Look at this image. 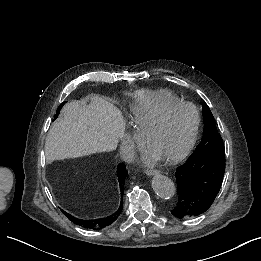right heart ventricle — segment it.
<instances>
[{
    "instance_id": "e07e8e85",
    "label": "right heart ventricle",
    "mask_w": 261,
    "mask_h": 261,
    "mask_svg": "<svg viewBox=\"0 0 261 261\" xmlns=\"http://www.w3.org/2000/svg\"><path fill=\"white\" fill-rule=\"evenodd\" d=\"M175 102H181V99L169 89H143L142 97L136 105L121 110L126 118L137 122L141 117L156 113L166 104Z\"/></svg>"
}]
</instances>
